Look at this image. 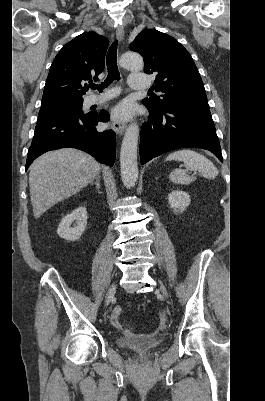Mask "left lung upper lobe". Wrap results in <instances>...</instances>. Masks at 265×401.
<instances>
[{
  "label": "left lung upper lobe",
  "instance_id": "left-lung-upper-lobe-1",
  "mask_svg": "<svg viewBox=\"0 0 265 401\" xmlns=\"http://www.w3.org/2000/svg\"><path fill=\"white\" fill-rule=\"evenodd\" d=\"M130 49L143 56L145 73H157L155 91L164 93L142 100L147 108L163 110L187 102L208 104L197 67L176 39L155 29H146L130 44Z\"/></svg>",
  "mask_w": 265,
  "mask_h": 401
}]
</instances>
